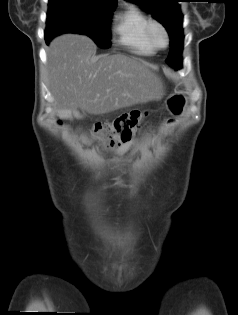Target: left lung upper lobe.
<instances>
[{
	"label": "left lung upper lobe",
	"instance_id": "1",
	"mask_svg": "<svg viewBox=\"0 0 238 315\" xmlns=\"http://www.w3.org/2000/svg\"><path fill=\"white\" fill-rule=\"evenodd\" d=\"M137 3L141 8L151 13L154 18L161 22L167 29L170 38L172 36L182 35V14L180 6L177 4L178 0H129ZM167 63L178 68L179 63L175 57L169 53Z\"/></svg>",
	"mask_w": 238,
	"mask_h": 315
}]
</instances>
